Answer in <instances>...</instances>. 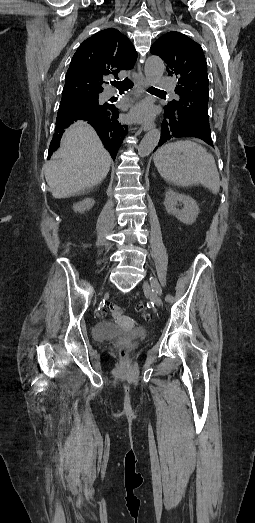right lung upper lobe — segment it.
<instances>
[{"label":"right lung upper lobe","mask_w":255,"mask_h":523,"mask_svg":"<svg viewBox=\"0 0 255 523\" xmlns=\"http://www.w3.org/2000/svg\"><path fill=\"white\" fill-rule=\"evenodd\" d=\"M137 59L134 46L127 36L116 29H105L86 39L76 50L65 77L62 100L57 114L56 129L49 146L48 156L59 147L64 128L75 120H84L95 129L113 159L119 150L128 126L119 118L118 107L99 103L107 79L122 70L132 69ZM76 97H87L90 105L82 108L74 104ZM87 109L89 116L82 118L80 111Z\"/></svg>","instance_id":"obj_1"}]
</instances>
